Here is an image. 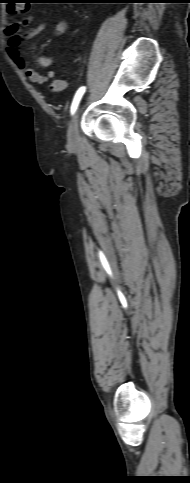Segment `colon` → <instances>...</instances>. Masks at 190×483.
Listing matches in <instances>:
<instances>
[{
	"label": "colon",
	"instance_id": "obj_1",
	"mask_svg": "<svg viewBox=\"0 0 190 483\" xmlns=\"http://www.w3.org/2000/svg\"><path fill=\"white\" fill-rule=\"evenodd\" d=\"M29 0H12L8 4V12L13 16H18L26 12Z\"/></svg>",
	"mask_w": 190,
	"mask_h": 483
}]
</instances>
